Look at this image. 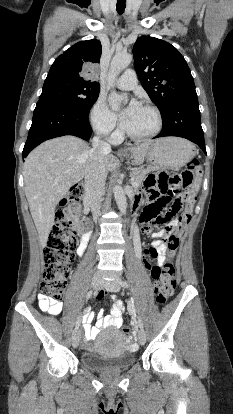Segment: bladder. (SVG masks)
<instances>
[{"label":"bladder","instance_id":"31cf9c89","mask_svg":"<svg viewBox=\"0 0 233 414\" xmlns=\"http://www.w3.org/2000/svg\"><path fill=\"white\" fill-rule=\"evenodd\" d=\"M81 363L92 370L112 371L130 367L135 356L129 351L127 338L118 329L99 334L93 348L81 354Z\"/></svg>","mask_w":233,"mask_h":414}]
</instances>
